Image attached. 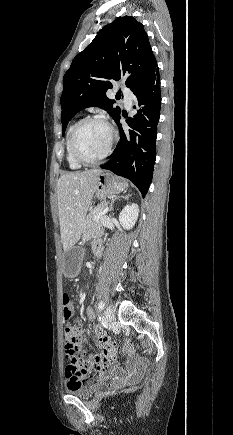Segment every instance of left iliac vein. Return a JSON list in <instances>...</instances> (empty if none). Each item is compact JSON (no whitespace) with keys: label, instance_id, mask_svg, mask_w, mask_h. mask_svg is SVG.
Listing matches in <instances>:
<instances>
[{"label":"left iliac vein","instance_id":"1","mask_svg":"<svg viewBox=\"0 0 233 435\" xmlns=\"http://www.w3.org/2000/svg\"><path fill=\"white\" fill-rule=\"evenodd\" d=\"M115 320V313L111 307H107L104 311V321L106 325L110 326Z\"/></svg>","mask_w":233,"mask_h":435}]
</instances>
